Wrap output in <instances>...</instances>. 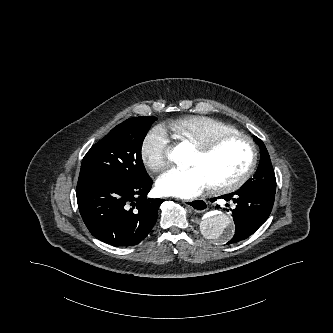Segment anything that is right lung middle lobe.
Returning <instances> with one entry per match:
<instances>
[{"mask_svg": "<svg viewBox=\"0 0 333 333\" xmlns=\"http://www.w3.org/2000/svg\"><path fill=\"white\" fill-rule=\"evenodd\" d=\"M153 116L127 119L93 145L82 160L78 183L91 180L142 181L148 174L141 148Z\"/></svg>", "mask_w": 333, "mask_h": 333, "instance_id": "obj_1", "label": "right lung middle lobe"}]
</instances>
